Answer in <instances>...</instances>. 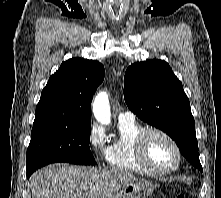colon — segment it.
I'll use <instances>...</instances> for the list:
<instances>
[{
	"label": "colon",
	"mask_w": 221,
	"mask_h": 198,
	"mask_svg": "<svg viewBox=\"0 0 221 198\" xmlns=\"http://www.w3.org/2000/svg\"><path fill=\"white\" fill-rule=\"evenodd\" d=\"M176 198H186V196H185L184 194H178V195L176 196Z\"/></svg>",
	"instance_id": "colon-1"
}]
</instances>
